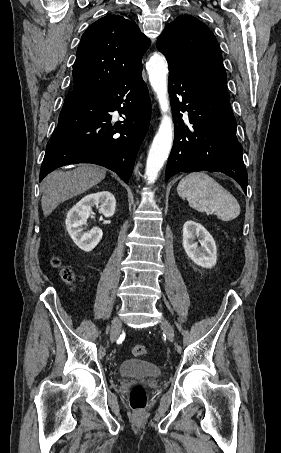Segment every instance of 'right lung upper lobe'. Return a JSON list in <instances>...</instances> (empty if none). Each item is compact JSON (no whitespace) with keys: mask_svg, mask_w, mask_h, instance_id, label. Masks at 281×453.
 Listing matches in <instances>:
<instances>
[{"mask_svg":"<svg viewBox=\"0 0 281 453\" xmlns=\"http://www.w3.org/2000/svg\"><path fill=\"white\" fill-rule=\"evenodd\" d=\"M150 40L131 17L106 15L87 28L73 65V88L119 82L136 67Z\"/></svg>","mask_w":281,"mask_h":453,"instance_id":"right-lung-upper-lobe-1","label":"right lung upper lobe"}]
</instances>
